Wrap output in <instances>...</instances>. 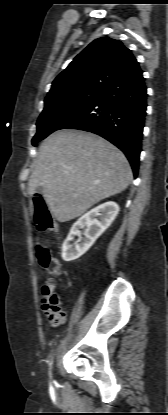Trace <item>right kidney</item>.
Returning <instances> with one entry per match:
<instances>
[{
  "instance_id": "right-kidney-1",
  "label": "right kidney",
  "mask_w": 168,
  "mask_h": 415,
  "mask_svg": "<svg viewBox=\"0 0 168 415\" xmlns=\"http://www.w3.org/2000/svg\"><path fill=\"white\" fill-rule=\"evenodd\" d=\"M119 212V206L115 202L103 203L87 213L75 222L62 245V258L64 261H73L78 259L94 242L101 236V234L112 224ZM100 217L98 220L96 217ZM86 227L84 231V238L80 237V229ZM74 236L80 237V243L72 246L70 242Z\"/></svg>"
}]
</instances>
